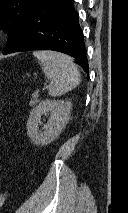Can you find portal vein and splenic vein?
<instances>
[{"label": "portal vein and splenic vein", "mask_w": 128, "mask_h": 213, "mask_svg": "<svg viewBox=\"0 0 128 213\" xmlns=\"http://www.w3.org/2000/svg\"><path fill=\"white\" fill-rule=\"evenodd\" d=\"M38 95H39V90H37V91H35V92L33 93V96H34V97H38Z\"/></svg>", "instance_id": "portal-vein-and-splenic-vein-1"}]
</instances>
